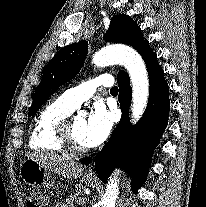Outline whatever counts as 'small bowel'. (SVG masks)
I'll return each instance as SVG.
<instances>
[{
  "instance_id": "obj_1",
  "label": "small bowel",
  "mask_w": 206,
  "mask_h": 207,
  "mask_svg": "<svg viewBox=\"0 0 206 207\" xmlns=\"http://www.w3.org/2000/svg\"><path fill=\"white\" fill-rule=\"evenodd\" d=\"M55 207H67V206L63 203H58Z\"/></svg>"
}]
</instances>
